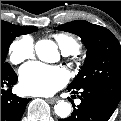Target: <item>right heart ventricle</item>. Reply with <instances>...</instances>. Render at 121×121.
I'll return each instance as SVG.
<instances>
[{"instance_id":"obj_1","label":"right heart ventricle","mask_w":121,"mask_h":121,"mask_svg":"<svg viewBox=\"0 0 121 121\" xmlns=\"http://www.w3.org/2000/svg\"><path fill=\"white\" fill-rule=\"evenodd\" d=\"M55 38L59 47L64 53L69 54V53L78 51L79 49L78 43L73 37L65 34H59V35H56Z\"/></svg>"}]
</instances>
